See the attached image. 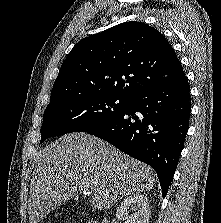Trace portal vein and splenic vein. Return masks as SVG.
<instances>
[{"label": "portal vein and splenic vein", "mask_w": 221, "mask_h": 223, "mask_svg": "<svg viewBox=\"0 0 221 223\" xmlns=\"http://www.w3.org/2000/svg\"><path fill=\"white\" fill-rule=\"evenodd\" d=\"M80 188L84 192H90V188L87 185H85L84 183L80 184Z\"/></svg>", "instance_id": "portal-vein-and-splenic-vein-1"}]
</instances>
